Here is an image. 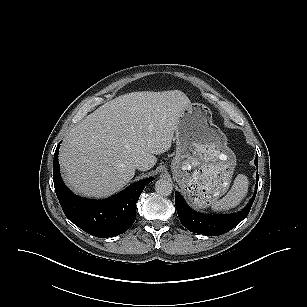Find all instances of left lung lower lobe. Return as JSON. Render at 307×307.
I'll return each instance as SVG.
<instances>
[{
    "label": "left lung lower lobe",
    "instance_id": "1",
    "mask_svg": "<svg viewBox=\"0 0 307 307\" xmlns=\"http://www.w3.org/2000/svg\"><path fill=\"white\" fill-rule=\"evenodd\" d=\"M257 160L256 155L254 161L256 166ZM256 178L255 193L248 205L242 211L230 215H207L196 212L185 203L178 192H175V205L180 222L189 231L207 236H218L230 231L248 215L251 209L258 187V170Z\"/></svg>",
    "mask_w": 307,
    "mask_h": 307
}]
</instances>
